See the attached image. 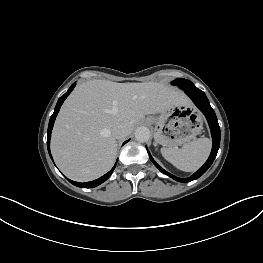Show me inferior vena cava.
Masks as SVG:
<instances>
[{"label":"inferior vena cava","mask_w":263,"mask_h":263,"mask_svg":"<svg viewBox=\"0 0 263 263\" xmlns=\"http://www.w3.org/2000/svg\"><path fill=\"white\" fill-rule=\"evenodd\" d=\"M112 135L116 139H123L128 135L127 128L124 124L119 123L112 128Z\"/></svg>","instance_id":"1"}]
</instances>
